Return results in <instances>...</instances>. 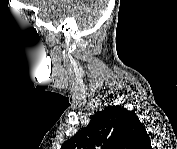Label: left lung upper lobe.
Here are the masks:
<instances>
[{
	"instance_id": "1",
	"label": "left lung upper lobe",
	"mask_w": 177,
	"mask_h": 149,
	"mask_svg": "<svg viewBox=\"0 0 177 149\" xmlns=\"http://www.w3.org/2000/svg\"><path fill=\"white\" fill-rule=\"evenodd\" d=\"M145 135L146 129L135 113L120 106H108L64 142L61 149H143Z\"/></svg>"
}]
</instances>
